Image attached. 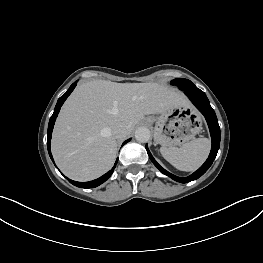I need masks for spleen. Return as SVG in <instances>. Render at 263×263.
Listing matches in <instances>:
<instances>
[{
  "label": "spleen",
  "mask_w": 263,
  "mask_h": 263,
  "mask_svg": "<svg viewBox=\"0 0 263 263\" xmlns=\"http://www.w3.org/2000/svg\"><path fill=\"white\" fill-rule=\"evenodd\" d=\"M210 140L197 138L184 143L180 148L161 147L162 156L175 168L181 171H195L207 159L210 152Z\"/></svg>",
  "instance_id": "obj_1"
}]
</instances>
